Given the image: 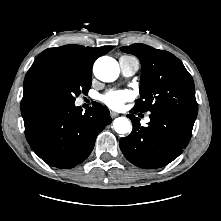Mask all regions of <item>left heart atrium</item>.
<instances>
[{
  "instance_id": "left-heart-atrium-1",
  "label": "left heart atrium",
  "mask_w": 221,
  "mask_h": 221,
  "mask_svg": "<svg viewBox=\"0 0 221 221\" xmlns=\"http://www.w3.org/2000/svg\"><path fill=\"white\" fill-rule=\"evenodd\" d=\"M134 95L129 90H111L101 97L102 102L113 110H120Z\"/></svg>"
}]
</instances>
